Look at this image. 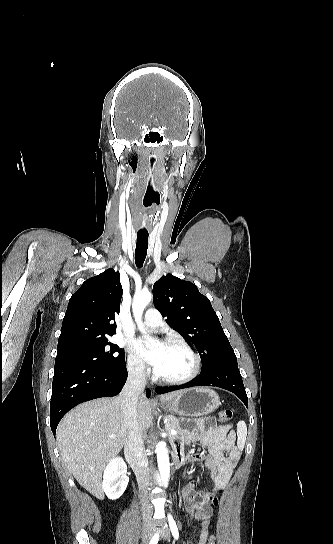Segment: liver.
Returning a JSON list of instances; mask_svg holds the SVG:
<instances>
[{"mask_svg": "<svg viewBox=\"0 0 333 544\" xmlns=\"http://www.w3.org/2000/svg\"><path fill=\"white\" fill-rule=\"evenodd\" d=\"M181 392L163 394L160 400L172 401ZM137 413L141 431L152 425L150 403L144 396L138 400ZM127 435L120 396L77 406L63 418L56 433L63 462L78 483L99 499L104 497L101 478L105 464L121 451Z\"/></svg>", "mask_w": 333, "mask_h": 544, "instance_id": "liver-1", "label": "liver"}]
</instances>
